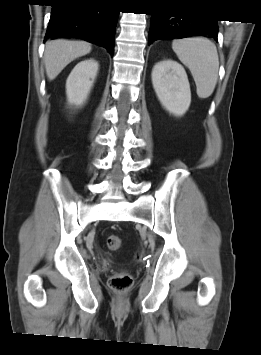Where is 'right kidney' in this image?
Here are the masks:
<instances>
[{
	"mask_svg": "<svg viewBox=\"0 0 261 355\" xmlns=\"http://www.w3.org/2000/svg\"><path fill=\"white\" fill-rule=\"evenodd\" d=\"M99 64L94 59L79 62L66 80L67 105L71 109L82 106L93 87Z\"/></svg>",
	"mask_w": 261,
	"mask_h": 355,
	"instance_id": "right-kidney-1",
	"label": "right kidney"
}]
</instances>
